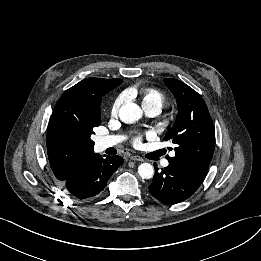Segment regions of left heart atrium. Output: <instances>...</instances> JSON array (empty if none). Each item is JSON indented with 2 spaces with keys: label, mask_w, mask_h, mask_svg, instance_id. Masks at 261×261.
<instances>
[{
  "label": "left heart atrium",
  "mask_w": 261,
  "mask_h": 261,
  "mask_svg": "<svg viewBox=\"0 0 261 261\" xmlns=\"http://www.w3.org/2000/svg\"><path fill=\"white\" fill-rule=\"evenodd\" d=\"M144 137L153 138L154 133L151 131H148L146 133H138V134L134 135L133 138L131 139L133 146L140 147L143 143Z\"/></svg>",
  "instance_id": "left-heart-atrium-1"
}]
</instances>
